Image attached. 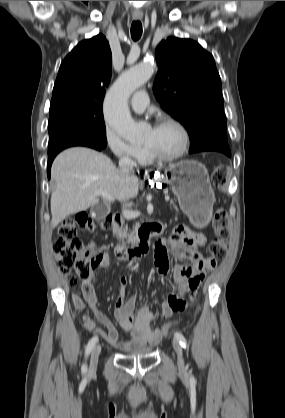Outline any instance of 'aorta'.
Here are the masks:
<instances>
[{
    "instance_id": "obj_1",
    "label": "aorta",
    "mask_w": 285,
    "mask_h": 418,
    "mask_svg": "<svg viewBox=\"0 0 285 418\" xmlns=\"http://www.w3.org/2000/svg\"><path fill=\"white\" fill-rule=\"evenodd\" d=\"M154 72V63L145 60L125 70L110 87L104 107L107 124L122 138L135 143L143 138L144 128L131 117L128 109V98L144 85Z\"/></svg>"
}]
</instances>
